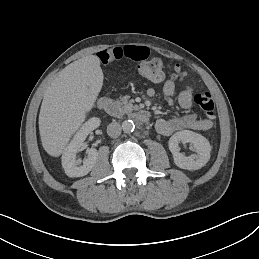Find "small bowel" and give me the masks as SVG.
Returning <instances> with one entry per match:
<instances>
[{"label":"small bowel","mask_w":259,"mask_h":259,"mask_svg":"<svg viewBox=\"0 0 259 259\" xmlns=\"http://www.w3.org/2000/svg\"><path fill=\"white\" fill-rule=\"evenodd\" d=\"M149 56V48L146 46L123 45L102 50L97 53V59L102 64H108L126 58L133 61H141ZM176 90L175 82L171 79L164 82L162 92L166 97L174 95ZM149 96H154L156 91L150 88L147 91ZM194 91L192 87H187L178 97V102L181 108L186 110V114L174 118H160L156 122L157 131L165 136L172 135L178 131L191 129L206 131L212 128L213 121L205 118H200L196 113L191 112L193 107Z\"/></svg>","instance_id":"obj_1"}]
</instances>
